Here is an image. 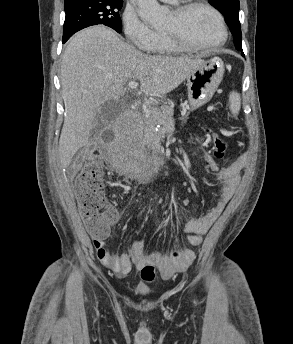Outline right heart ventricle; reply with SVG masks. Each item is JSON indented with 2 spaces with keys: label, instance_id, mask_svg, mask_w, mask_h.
I'll use <instances>...</instances> for the list:
<instances>
[{
  "label": "right heart ventricle",
  "instance_id": "e07e8e85",
  "mask_svg": "<svg viewBox=\"0 0 293 344\" xmlns=\"http://www.w3.org/2000/svg\"><path fill=\"white\" fill-rule=\"evenodd\" d=\"M182 49L175 46L164 33L159 32V37L149 53L156 56H173L182 53Z\"/></svg>",
  "mask_w": 293,
  "mask_h": 344
}]
</instances>
